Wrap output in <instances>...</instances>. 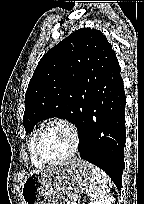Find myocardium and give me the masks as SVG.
I'll list each match as a JSON object with an SVG mask.
<instances>
[{
	"instance_id": "obj_1",
	"label": "myocardium",
	"mask_w": 144,
	"mask_h": 204,
	"mask_svg": "<svg viewBox=\"0 0 144 204\" xmlns=\"http://www.w3.org/2000/svg\"><path fill=\"white\" fill-rule=\"evenodd\" d=\"M51 126H62L66 128L72 137V147L71 150L69 151L68 154L63 156L62 158L56 159V160H46L42 158L38 152V142L40 139L41 134L49 127ZM80 142H81V137H80V132L78 127L74 122H72L69 119L66 118H54L43 124L36 132L34 141H33V154L35 158L41 163L45 165H56V164H61L64 163L71 158H73L80 147Z\"/></svg>"
}]
</instances>
